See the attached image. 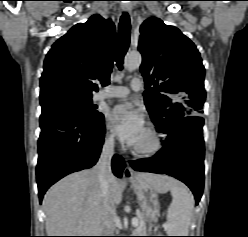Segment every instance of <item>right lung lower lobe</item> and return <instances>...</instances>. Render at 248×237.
I'll return each mask as SVG.
<instances>
[{
	"label": "right lung lower lobe",
	"instance_id": "1",
	"mask_svg": "<svg viewBox=\"0 0 248 237\" xmlns=\"http://www.w3.org/2000/svg\"><path fill=\"white\" fill-rule=\"evenodd\" d=\"M36 168L39 201L46 190L62 177L92 167L98 161L104 142V116L83 119L70 114L40 116ZM125 167L122 157L112 159L113 173L121 178Z\"/></svg>",
	"mask_w": 248,
	"mask_h": 237
}]
</instances>
